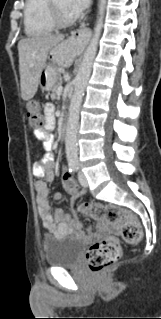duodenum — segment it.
I'll list each match as a JSON object with an SVG mask.
<instances>
[{
	"mask_svg": "<svg viewBox=\"0 0 161 319\" xmlns=\"http://www.w3.org/2000/svg\"><path fill=\"white\" fill-rule=\"evenodd\" d=\"M66 133H67V128H66V126H63V127L61 128L60 135H61V136H65Z\"/></svg>",
	"mask_w": 161,
	"mask_h": 319,
	"instance_id": "duodenum-1",
	"label": "duodenum"
}]
</instances>
